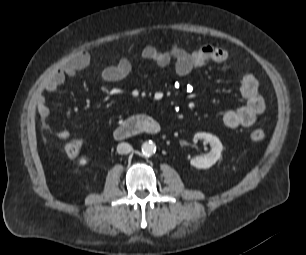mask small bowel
<instances>
[{
	"label": "small bowel",
	"instance_id": "1",
	"mask_svg": "<svg viewBox=\"0 0 306 255\" xmlns=\"http://www.w3.org/2000/svg\"><path fill=\"white\" fill-rule=\"evenodd\" d=\"M142 57L155 63L158 67H168L174 64L175 72L180 77L189 75L193 70L204 68L212 63H224L229 59L226 50L214 45H202L199 48L188 51L179 46H171L167 50H160L156 46L147 45L143 48ZM90 62L87 51H81L71 57L63 67L53 71L42 84L36 96L37 112L45 119L50 114L46 96L54 93L66 78H76L80 70ZM132 71V63L126 58H120L117 63L104 67L100 77L106 82H118L124 80ZM240 93L244 99L241 107L229 109L222 116L223 124L228 128L250 127L259 115L264 112L265 102L260 94L259 80L252 72L245 73L241 78ZM43 128L60 140L69 137L67 130H53L46 122Z\"/></svg>",
	"mask_w": 306,
	"mask_h": 255
}]
</instances>
